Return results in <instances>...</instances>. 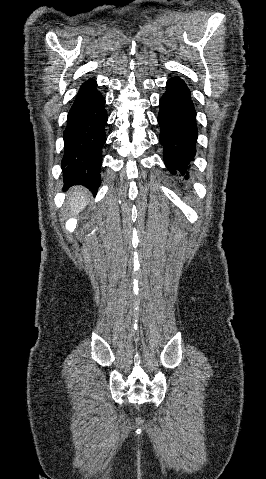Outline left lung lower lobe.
Masks as SVG:
<instances>
[{"instance_id": "left-lung-lower-lobe-1", "label": "left lung lower lobe", "mask_w": 266, "mask_h": 479, "mask_svg": "<svg viewBox=\"0 0 266 479\" xmlns=\"http://www.w3.org/2000/svg\"><path fill=\"white\" fill-rule=\"evenodd\" d=\"M160 99L159 141L164 147V163L170 173L185 182L190 177L196 154V111L190 90L179 77L167 81Z\"/></svg>"}]
</instances>
